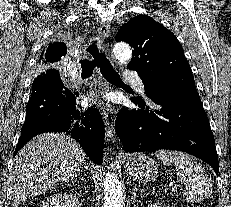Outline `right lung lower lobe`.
Here are the masks:
<instances>
[{
	"label": "right lung lower lobe",
	"mask_w": 231,
	"mask_h": 207,
	"mask_svg": "<svg viewBox=\"0 0 231 207\" xmlns=\"http://www.w3.org/2000/svg\"><path fill=\"white\" fill-rule=\"evenodd\" d=\"M77 95L64 86L55 69L36 77L14 156L39 133L65 131L79 142L92 161L101 165L105 136L102 117L95 107L79 110Z\"/></svg>",
	"instance_id": "98d812e1"
}]
</instances>
